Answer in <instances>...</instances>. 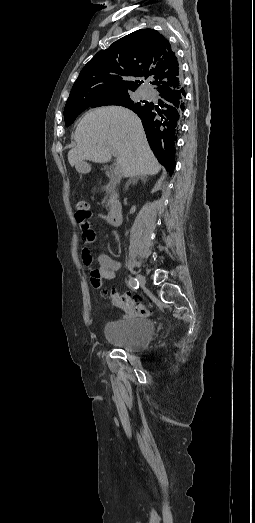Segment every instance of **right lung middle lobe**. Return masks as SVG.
Instances as JSON below:
<instances>
[{"mask_svg": "<svg viewBox=\"0 0 255 523\" xmlns=\"http://www.w3.org/2000/svg\"><path fill=\"white\" fill-rule=\"evenodd\" d=\"M130 100V94H123L103 97L92 102L66 104L64 109L65 125H71L76 117L88 107H99L105 105L124 106Z\"/></svg>", "mask_w": 255, "mask_h": 523, "instance_id": "dd1d6c3e", "label": "right lung middle lobe"}]
</instances>
